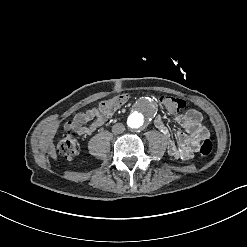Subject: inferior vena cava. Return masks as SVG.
Returning a JSON list of instances; mask_svg holds the SVG:
<instances>
[{"instance_id":"1","label":"inferior vena cava","mask_w":247,"mask_h":247,"mask_svg":"<svg viewBox=\"0 0 247 247\" xmlns=\"http://www.w3.org/2000/svg\"><path fill=\"white\" fill-rule=\"evenodd\" d=\"M124 130L125 126L122 123H116L112 128V132L115 134H121Z\"/></svg>"}]
</instances>
